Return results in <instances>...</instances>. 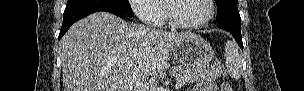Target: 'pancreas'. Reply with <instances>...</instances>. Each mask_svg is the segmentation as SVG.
Masks as SVG:
<instances>
[{"label":"pancreas","instance_id":"cf45deb5","mask_svg":"<svg viewBox=\"0 0 304 91\" xmlns=\"http://www.w3.org/2000/svg\"><path fill=\"white\" fill-rule=\"evenodd\" d=\"M171 74L175 77L176 83H179L180 87H182L195 81H214L224 74V70L220 64H214L208 68L200 69L175 66L171 69Z\"/></svg>","mask_w":304,"mask_h":91}]
</instances>
